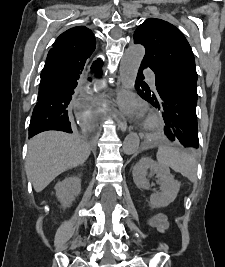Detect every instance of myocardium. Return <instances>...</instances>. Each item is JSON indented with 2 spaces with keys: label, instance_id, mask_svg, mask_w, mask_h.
Masks as SVG:
<instances>
[{
  "label": "myocardium",
  "instance_id": "obj_1",
  "mask_svg": "<svg viewBox=\"0 0 225 267\" xmlns=\"http://www.w3.org/2000/svg\"><path fill=\"white\" fill-rule=\"evenodd\" d=\"M161 125V120L156 114H151L145 122V128L149 130L157 129Z\"/></svg>",
  "mask_w": 225,
  "mask_h": 267
}]
</instances>
